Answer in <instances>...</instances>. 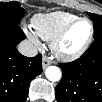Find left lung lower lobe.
<instances>
[{"label": "left lung lower lobe", "mask_w": 102, "mask_h": 102, "mask_svg": "<svg viewBox=\"0 0 102 102\" xmlns=\"http://www.w3.org/2000/svg\"><path fill=\"white\" fill-rule=\"evenodd\" d=\"M59 66L63 76L55 91L58 102H102V38L79 59Z\"/></svg>", "instance_id": "left-lung-lower-lobe-1"}]
</instances>
